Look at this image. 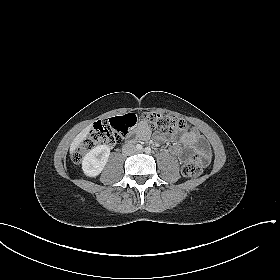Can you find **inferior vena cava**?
I'll use <instances>...</instances> for the list:
<instances>
[{
	"mask_svg": "<svg viewBox=\"0 0 280 280\" xmlns=\"http://www.w3.org/2000/svg\"><path fill=\"white\" fill-rule=\"evenodd\" d=\"M136 149L133 145H124L123 148H122V152L126 155L132 153V152H135Z\"/></svg>",
	"mask_w": 280,
	"mask_h": 280,
	"instance_id": "inferior-vena-cava-1",
	"label": "inferior vena cava"
}]
</instances>
